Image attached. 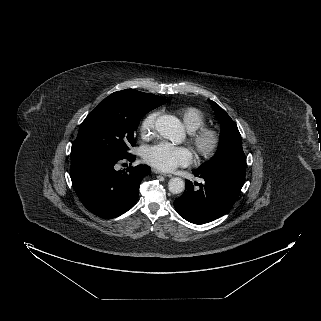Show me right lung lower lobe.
<instances>
[{
    "label": "right lung lower lobe",
    "mask_w": 321,
    "mask_h": 321,
    "mask_svg": "<svg viewBox=\"0 0 321 321\" xmlns=\"http://www.w3.org/2000/svg\"><path fill=\"white\" fill-rule=\"evenodd\" d=\"M135 159L133 155L111 159L92 153L71 156V181L83 205L105 219L118 217L132 208L138 200L140 183L151 168L138 165L116 171L115 165Z\"/></svg>",
    "instance_id": "right-lung-lower-lobe-1"
}]
</instances>
